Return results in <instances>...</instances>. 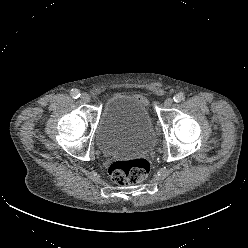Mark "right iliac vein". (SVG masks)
Listing matches in <instances>:
<instances>
[{
	"label": "right iliac vein",
	"mask_w": 248,
	"mask_h": 248,
	"mask_svg": "<svg viewBox=\"0 0 248 248\" xmlns=\"http://www.w3.org/2000/svg\"><path fill=\"white\" fill-rule=\"evenodd\" d=\"M80 98H81V100H82L83 102H85V103L90 102V96H89V94H87V93H82Z\"/></svg>",
	"instance_id": "obj_1"
}]
</instances>
